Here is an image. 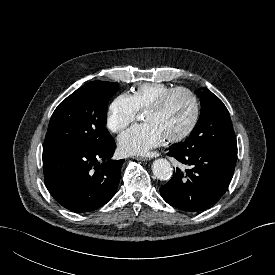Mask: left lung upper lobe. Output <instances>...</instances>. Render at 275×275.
Here are the masks:
<instances>
[{
    "instance_id": "obj_1",
    "label": "left lung upper lobe",
    "mask_w": 275,
    "mask_h": 275,
    "mask_svg": "<svg viewBox=\"0 0 275 275\" xmlns=\"http://www.w3.org/2000/svg\"><path fill=\"white\" fill-rule=\"evenodd\" d=\"M200 118L179 149L209 148L237 151V142L229 112L223 102L207 88L200 94Z\"/></svg>"
}]
</instances>
